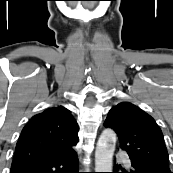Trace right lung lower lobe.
Masks as SVG:
<instances>
[{
    "mask_svg": "<svg viewBox=\"0 0 173 173\" xmlns=\"http://www.w3.org/2000/svg\"><path fill=\"white\" fill-rule=\"evenodd\" d=\"M10 173H79L77 154L73 150L60 156L13 164Z\"/></svg>",
    "mask_w": 173,
    "mask_h": 173,
    "instance_id": "1",
    "label": "right lung lower lobe"
}]
</instances>
